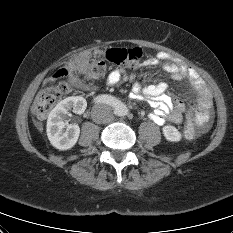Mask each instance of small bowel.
<instances>
[{
  "label": "small bowel",
  "mask_w": 233,
  "mask_h": 233,
  "mask_svg": "<svg viewBox=\"0 0 233 233\" xmlns=\"http://www.w3.org/2000/svg\"><path fill=\"white\" fill-rule=\"evenodd\" d=\"M88 59L80 56L75 60L76 69L80 72L86 70ZM161 64L168 71L172 78L176 80H187L197 93V106L193 112L192 124L200 132H205L209 127L211 116L212 95L203 79L193 69L177 63L166 52H158L156 55L147 58L142 67H151ZM128 79L124 69L112 70L106 79L109 86L117 85ZM77 81L78 77L75 76ZM166 82L151 84L143 87L140 83H135L132 88V97H145L154 108L150 113V119L157 125H164L167 122L180 123L183 119L185 104L180 99H173L167 93ZM188 119V117H187Z\"/></svg>",
  "instance_id": "obj_1"
}]
</instances>
